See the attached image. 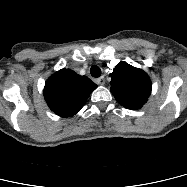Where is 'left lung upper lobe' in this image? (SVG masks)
I'll return each mask as SVG.
<instances>
[{
  "label": "left lung upper lobe",
  "instance_id": "5c2ea615",
  "mask_svg": "<svg viewBox=\"0 0 187 187\" xmlns=\"http://www.w3.org/2000/svg\"><path fill=\"white\" fill-rule=\"evenodd\" d=\"M111 92L121 106L137 110L151 93L149 76L141 69L121 61L113 70Z\"/></svg>",
  "mask_w": 187,
  "mask_h": 187
}]
</instances>
